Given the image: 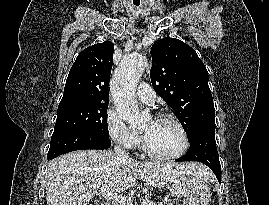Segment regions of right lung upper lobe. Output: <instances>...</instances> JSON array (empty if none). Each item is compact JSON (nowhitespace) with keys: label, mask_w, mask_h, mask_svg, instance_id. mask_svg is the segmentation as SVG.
Returning <instances> with one entry per match:
<instances>
[{"label":"right lung upper lobe","mask_w":269,"mask_h":205,"mask_svg":"<svg viewBox=\"0 0 269 205\" xmlns=\"http://www.w3.org/2000/svg\"><path fill=\"white\" fill-rule=\"evenodd\" d=\"M114 44L106 41L83 50L72 65L59 106L108 103Z\"/></svg>","instance_id":"1"}]
</instances>
